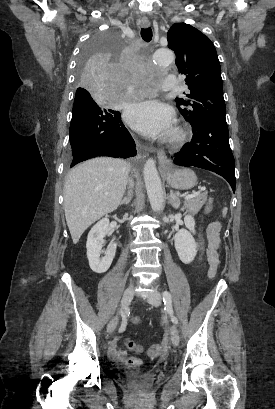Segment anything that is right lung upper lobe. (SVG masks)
<instances>
[{
  "instance_id": "right-lung-upper-lobe-1",
  "label": "right lung upper lobe",
  "mask_w": 275,
  "mask_h": 409,
  "mask_svg": "<svg viewBox=\"0 0 275 409\" xmlns=\"http://www.w3.org/2000/svg\"><path fill=\"white\" fill-rule=\"evenodd\" d=\"M77 91H83V90H80V89L78 88Z\"/></svg>"
}]
</instances>
